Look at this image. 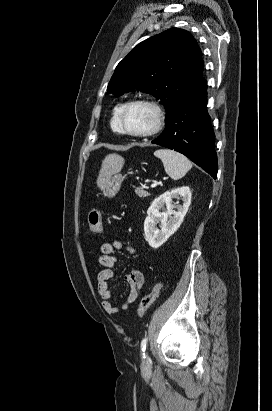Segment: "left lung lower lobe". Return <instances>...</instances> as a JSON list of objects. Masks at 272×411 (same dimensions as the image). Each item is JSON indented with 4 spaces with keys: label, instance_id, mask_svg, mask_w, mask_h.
<instances>
[{
    "label": "left lung lower lobe",
    "instance_id": "left-lung-lower-lobe-1",
    "mask_svg": "<svg viewBox=\"0 0 272 411\" xmlns=\"http://www.w3.org/2000/svg\"><path fill=\"white\" fill-rule=\"evenodd\" d=\"M206 89L207 82L177 108L152 143L184 154L216 179L215 135L206 109Z\"/></svg>",
    "mask_w": 272,
    "mask_h": 411
}]
</instances>
